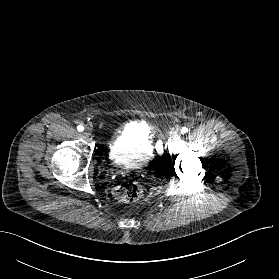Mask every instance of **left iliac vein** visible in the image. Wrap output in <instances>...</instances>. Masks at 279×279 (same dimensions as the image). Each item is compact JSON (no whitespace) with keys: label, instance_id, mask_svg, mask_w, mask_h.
Wrapping results in <instances>:
<instances>
[{"label":"left iliac vein","instance_id":"1","mask_svg":"<svg viewBox=\"0 0 279 279\" xmlns=\"http://www.w3.org/2000/svg\"><path fill=\"white\" fill-rule=\"evenodd\" d=\"M181 131L177 130L174 134H173V140L174 141H178L181 138Z\"/></svg>","mask_w":279,"mask_h":279}]
</instances>
